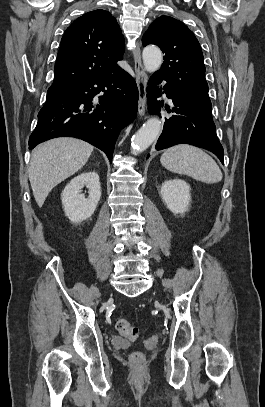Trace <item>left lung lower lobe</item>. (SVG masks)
Returning a JSON list of instances; mask_svg holds the SVG:
<instances>
[{
  "mask_svg": "<svg viewBox=\"0 0 265 407\" xmlns=\"http://www.w3.org/2000/svg\"><path fill=\"white\" fill-rule=\"evenodd\" d=\"M164 78L157 72L149 79L147 88L148 110L151 115L160 114L163 103L156 99L161 96L158 89ZM167 97L172 100L173 108H165L175 115L165 117L164 129L155 149L161 150L177 144H190L213 152L222 163L224 151L216 135L212 112L177 93L168 83L163 87ZM149 157V155H148Z\"/></svg>",
  "mask_w": 265,
  "mask_h": 407,
  "instance_id": "0a47b994",
  "label": "left lung lower lobe"
}]
</instances>
